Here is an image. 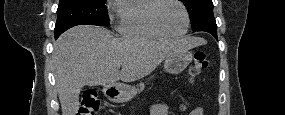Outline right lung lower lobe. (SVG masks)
Instances as JSON below:
<instances>
[{"label":"right lung lower lobe","mask_w":285,"mask_h":115,"mask_svg":"<svg viewBox=\"0 0 285 115\" xmlns=\"http://www.w3.org/2000/svg\"><path fill=\"white\" fill-rule=\"evenodd\" d=\"M61 33L55 34V39H57L60 36Z\"/></svg>","instance_id":"1"}]
</instances>
